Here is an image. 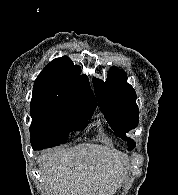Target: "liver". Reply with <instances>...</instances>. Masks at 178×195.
<instances>
[{"label": "liver", "instance_id": "1", "mask_svg": "<svg viewBox=\"0 0 178 195\" xmlns=\"http://www.w3.org/2000/svg\"><path fill=\"white\" fill-rule=\"evenodd\" d=\"M125 160L106 147L83 144L39 158L47 195H112Z\"/></svg>", "mask_w": 178, "mask_h": 195}]
</instances>
